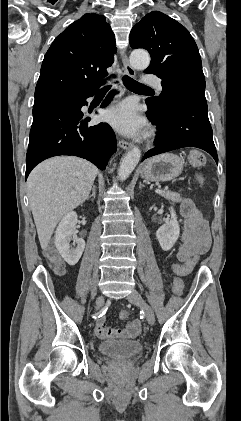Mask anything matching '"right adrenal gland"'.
Returning <instances> with one entry per match:
<instances>
[{
	"label": "right adrenal gland",
	"mask_w": 241,
	"mask_h": 421,
	"mask_svg": "<svg viewBox=\"0 0 241 421\" xmlns=\"http://www.w3.org/2000/svg\"><path fill=\"white\" fill-rule=\"evenodd\" d=\"M95 196H96V186H93L92 194L87 197V200L90 199L91 197L95 199Z\"/></svg>",
	"instance_id": "right-adrenal-gland-1"
}]
</instances>
